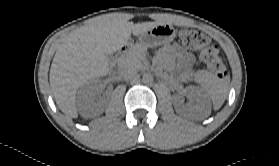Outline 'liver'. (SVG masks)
<instances>
[{
	"instance_id": "obj_1",
	"label": "liver",
	"mask_w": 279,
	"mask_h": 166,
	"mask_svg": "<svg viewBox=\"0 0 279 166\" xmlns=\"http://www.w3.org/2000/svg\"><path fill=\"white\" fill-rule=\"evenodd\" d=\"M157 22H128L122 14L97 17L69 33L59 45L50 68V84L59 109L77 118L76 92L90 79L109 73L106 54L121 49L131 34L139 36Z\"/></svg>"
}]
</instances>
